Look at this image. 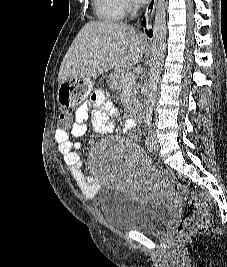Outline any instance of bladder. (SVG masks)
Wrapping results in <instances>:
<instances>
[{"mask_svg":"<svg viewBox=\"0 0 227 267\" xmlns=\"http://www.w3.org/2000/svg\"><path fill=\"white\" fill-rule=\"evenodd\" d=\"M100 210L105 222L120 231L159 234L174 218V211L155 200H136L115 188H104Z\"/></svg>","mask_w":227,"mask_h":267,"instance_id":"obj_1","label":"bladder"}]
</instances>
